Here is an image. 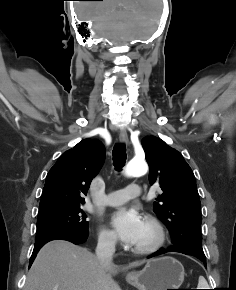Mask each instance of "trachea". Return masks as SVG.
Wrapping results in <instances>:
<instances>
[{
  "instance_id": "obj_1",
  "label": "trachea",
  "mask_w": 236,
  "mask_h": 290,
  "mask_svg": "<svg viewBox=\"0 0 236 290\" xmlns=\"http://www.w3.org/2000/svg\"><path fill=\"white\" fill-rule=\"evenodd\" d=\"M113 156V164L117 171H121L122 167L126 163L127 154H126V147L124 144H116L113 148L112 152Z\"/></svg>"
}]
</instances>
